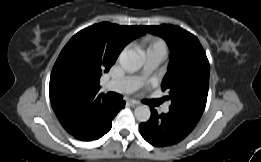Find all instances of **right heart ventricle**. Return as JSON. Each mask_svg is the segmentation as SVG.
I'll return each mask as SVG.
<instances>
[{
  "instance_id": "obj_1",
  "label": "right heart ventricle",
  "mask_w": 261,
  "mask_h": 162,
  "mask_svg": "<svg viewBox=\"0 0 261 162\" xmlns=\"http://www.w3.org/2000/svg\"><path fill=\"white\" fill-rule=\"evenodd\" d=\"M144 44L146 46V53L148 52H162V53H166L167 47L165 42L160 39V38H156V37H146L144 39Z\"/></svg>"
}]
</instances>
